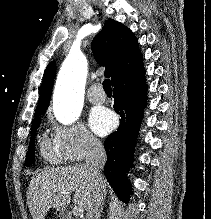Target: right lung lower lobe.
Instances as JSON below:
<instances>
[{
  "instance_id": "right-lung-lower-lobe-1",
  "label": "right lung lower lobe",
  "mask_w": 211,
  "mask_h": 219,
  "mask_svg": "<svg viewBox=\"0 0 211 219\" xmlns=\"http://www.w3.org/2000/svg\"><path fill=\"white\" fill-rule=\"evenodd\" d=\"M114 110L120 115V126L104 143L107 162L105 176L118 197L129 202L131 186L126 172L132 164L133 152L144 107L146 105V80L143 64L128 70L113 82Z\"/></svg>"
}]
</instances>
